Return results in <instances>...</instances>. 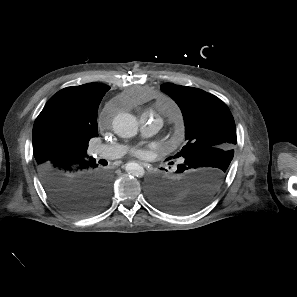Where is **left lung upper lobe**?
Wrapping results in <instances>:
<instances>
[{"label":"left lung upper lobe","mask_w":297,"mask_h":297,"mask_svg":"<svg viewBox=\"0 0 297 297\" xmlns=\"http://www.w3.org/2000/svg\"><path fill=\"white\" fill-rule=\"evenodd\" d=\"M161 90L180 107L186 145L173 158L189 171L219 173L223 181L237 143L234 118L227 105L201 89L165 83Z\"/></svg>","instance_id":"1"}]
</instances>
